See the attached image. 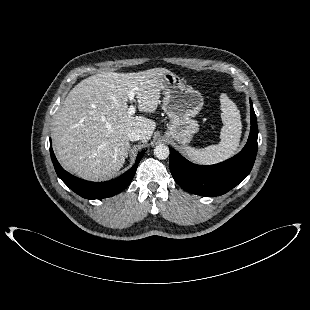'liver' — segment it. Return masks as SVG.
Masks as SVG:
<instances>
[{
    "label": "liver",
    "instance_id": "liver-1",
    "mask_svg": "<svg viewBox=\"0 0 310 310\" xmlns=\"http://www.w3.org/2000/svg\"><path fill=\"white\" fill-rule=\"evenodd\" d=\"M170 72L153 68L137 73L103 72L78 83L56 114L52 139L60 163L86 180H108L123 167L138 130L148 142L156 123L128 114V93L134 89L140 112L156 111L162 77Z\"/></svg>",
    "mask_w": 310,
    "mask_h": 310
}]
</instances>
